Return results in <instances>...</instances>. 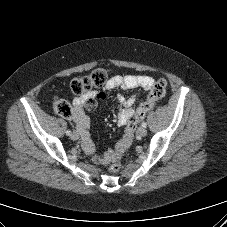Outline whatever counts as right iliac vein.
Returning a JSON list of instances; mask_svg holds the SVG:
<instances>
[{
    "mask_svg": "<svg viewBox=\"0 0 227 227\" xmlns=\"http://www.w3.org/2000/svg\"><path fill=\"white\" fill-rule=\"evenodd\" d=\"M71 139L72 140H78L79 139V132L77 131H74L72 134H71Z\"/></svg>",
    "mask_w": 227,
    "mask_h": 227,
    "instance_id": "63e3f726",
    "label": "right iliac vein"
}]
</instances>
